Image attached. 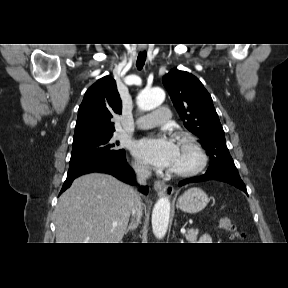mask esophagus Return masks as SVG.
<instances>
[{
	"label": "esophagus",
	"mask_w": 288,
	"mask_h": 288,
	"mask_svg": "<svg viewBox=\"0 0 288 288\" xmlns=\"http://www.w3.org/2000/svg\"><path fill=\"white\" fill-rule=\"evenodd\" d=\"M154 190L160 196H169L173 193L174 188L172 185L166 184L164 181L156 180L154 182Z\"/></svg>",
	"instance_id": "obj_1"
}]
</instances>
